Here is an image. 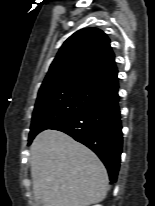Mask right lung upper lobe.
Returning a JSON list of instances; mask_svg holds the SVG:
<instances>
[{
	"label": "right lung upper lobe",
	"instance_id": "obj_1",
	"mask_svg": "<svg viewBox=\"0 0 155 206\" xmlns=\"http://www.w3.org/2000/svg\"><path fill=\"white\" fill-rule=\"evenodd\" d=\"M117 73L109 38L99 29L84 28L63 43L39 92L87 86L107 93L118 87Z\"/></svg>",
	"mask_w": 155,
	"mask_h": 206
}]
</instances>
